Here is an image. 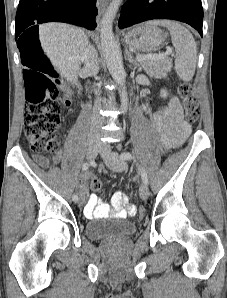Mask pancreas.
<instances>
[{"label":"pancreas","mask_w":227,"mask_h":298,"mask_svg":"<svg viewBox=\"0 0 227 298\" xmlns=\"http://www.w3.org/2000/svg\"><path fill=\"white\" fill-rule=\"evenodd\" d=\"M145 72L149 75L161 76L166 75L171 71L172 59L168 57H163L158 60H145L140 62Z\"/></svg>","instance_id":"1"}]
</instances>
